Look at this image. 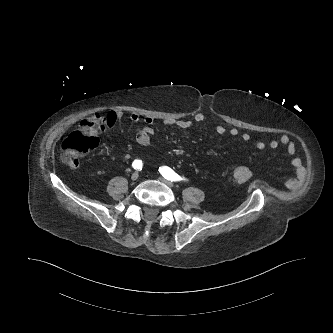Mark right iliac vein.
<instances>
[{
	"instance_id": "obj_1",
	"label": "right iliac vein",
	"mask_w": 333,
	"mask_h": 333,
	"mask_svg": "<svg viewBox=\"0 0 333 333\" xmlns=\"http://www.w3.org/2000/svg\"><path fill=\"white\" fill-rule=\"evenodd\" d=\"M138 177H139V173H138V172H134V173L131 175V179H132L133 181H136V180L138 179Z\"/></svg>"
}]
</instances>
